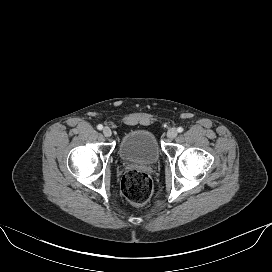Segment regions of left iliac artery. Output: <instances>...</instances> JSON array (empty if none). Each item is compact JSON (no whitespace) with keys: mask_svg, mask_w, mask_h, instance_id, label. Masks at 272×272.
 Instances as JSON below:
<instances>
[{"mask_svg":"<svg viewBox=\"0 0 272 272\" xmlns=\"http://www.w3.org/2000/svg\"><path fill=\"white\" fill-rule=\"evenodd\" d=\"M183 130H184V129H183L182 127H178V128H177V131H178L179 133L183 132Z\"/></svg>","mask_w":272,"mask_h":272,"instance_id":"left-iliac-artery-1","label":"left iliac artery"}]
</instances>
